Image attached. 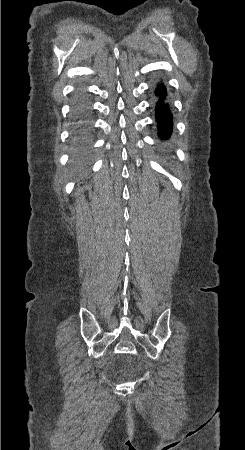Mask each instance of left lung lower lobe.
I'll use <instances>...</instances> for the list:
<instances>
[{
    "label": "left lung lower lobe",
    "mask_w": 245,
    "mask_h": 450,
    "mask_svg": "<svg viewBox=\"0 0 245 450\" xmlns=\"http://www.w3.org/2000/svg\"><path fill=\"white\" fill-rule=\"evenodd\" d=\"M155 94L158 97L156 103V119L158 122L159 135L163 139H168L172 132L173 121L166 87L163 83L158 84Z\"/></svg>",
    "instance_id": "left-lung-lower-lobe-1"
}]
</instances>
